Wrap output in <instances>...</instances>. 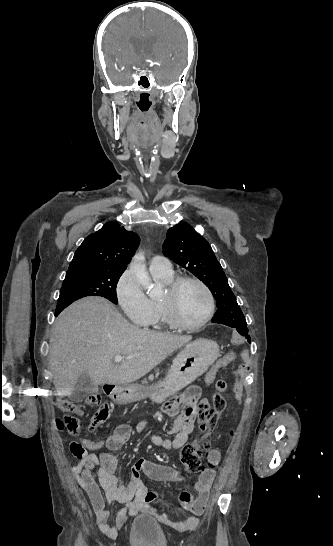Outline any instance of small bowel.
Here are the masks:
<instances>
[{
  "label": "small bowel",
  "instance_id": "c3829d8e",
  "mask_svg": "<svg viewBox=\"0 0 333 546\" xmlns=\"http://www.w3.org/2000/svg\"><path fill=\"white\" fill-rule=\"evenodd\" d=\"M230 346L226 348L220 358L212 361L207 375L206 384L210 386L215 374L227 372L229 365H232L237 359L235 348L243 343L240 332L235 331L231 335ZM240 360L248 361L249 355H240ZM200 398L199 388L193 386L185 392L169 399L164 404V411L175 420L169 429L170 433L176 434L174 439H164L158 435L150 437L152 444L160 446L167 450L181 449L189 439L194 428L196 416L195 403ZM180 405H183L182 411H179ZM147 426L146 422L139 424V431H143ZM130 428L126 425L118 426L114 432L106 439L90 440L80 439L72 441L69 445L70 453L77 459V463L72 467L71 472L78 484L87 493L95 515V519L100 531L108 538H114L118 529L126 522L129 516H135L140 512L152 514L164 526L178 532L185 533L194 531L200 525V515L205 510L210 496L211 487L215 479V471L205 469L201 472L199 480L195 485L197 491L196 500L189 506L192 515L185 517L180 521H174L168 517L169 507L158 510L155 506V494L149 492L142 481L140 474L144 473L147 477L154 480L176 481L181 477L179 473L168 466L156 464L154 462L139 459L133 466L130 479L124 482L117 474L118 459L113 451L119 449L129 438ZM105 446L106 450L98 454L91 453ZM220 459V451L214 448L208 456L209 464L213 466ZM95 468H98V481L93 475ZM101 489L104 490V495ZM105 500L109 503L121 504L122 508L116 513L114 522L109 524L110 513L105 506Z\"/></svg>",
  "mask_w": 333,
  "mask_h": 546
}]
</instances>
